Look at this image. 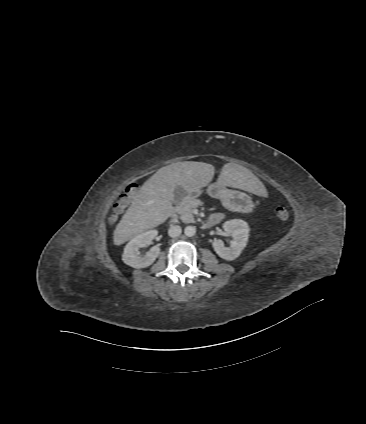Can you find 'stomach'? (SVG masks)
Returning a JSON list of instances; mask_svg holds the SVG:
<instances>
[{
	"instance_id": "1",
	"label": "stomach",
	"mask_w": 366,
	"mask_h": 424,
	"mask_svg": "<svg viewBox=\"0 0 366 424\" xmlns=\"http://www.w3.org/2000/svg\"><path fill=\"white\" fill-rule=\"evenodd\" d=\"M206 191L211 197L221 199L223 206L228 210L238 211L235 200H242L247 203L249 208H252V198L248 194L236 190H230L219 181L210 184ZM189 193L197 195L200 191L195 190ZM189 193L185 192V195Z\"/></svg>"
}]
</instances>
